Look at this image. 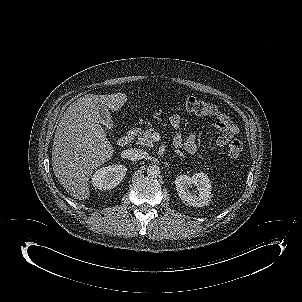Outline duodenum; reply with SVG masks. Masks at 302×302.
I'll use <instances>...</instances> for the list:
<instances>
[{"mask_svg":"<svg viewBox=\"0 0 302 302\" xmlns=\"http://www.w3.org/2000/svg\"><path fill=\"white\" fill-rule=\"evenodd\" d=\"M137 132H138V130L136 128L129 129L127 131V133L118 140V144L120 146H126V145L130 144L133 141V139L135 138V136L137 135ZM175 145L178 146L177 144H175Z\"/></svg>","mask_w":302,"mask_h":302,"instance_id":"duodenum-1","label":"duodenum"}]
</instances>
